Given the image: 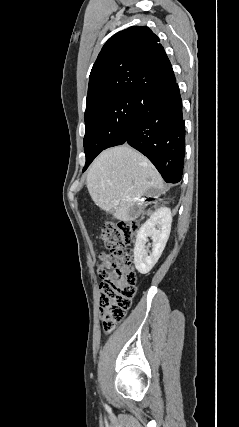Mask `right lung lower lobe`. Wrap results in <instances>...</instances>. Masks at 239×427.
<instances>
[{
	"instance_id": "1",
	"label": "right lung lower lobe",
	"mask_w": 239,
	"mask_h": 427,
	"mask_svg": "<svg viewBox=\"0 0 239 427\" xmlns=\"http://www.w3.org/2000/svg\"><path fill=\"white\" fill-rule=\"evenodd\" d=\"M124 143L148 157L166 182L181 180L185 124L176 80L154 87L140 96Z\"/></svg>"
}]
</instances>
